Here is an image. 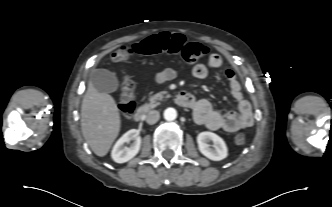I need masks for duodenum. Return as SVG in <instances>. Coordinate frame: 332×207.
<instances>
[{
	"label": "duodenum",
	"mask_w": 332,
	"mask_h": 207,
	"mask_svg": "<svg viewBox=\"0 0 332 207\" xmlns=\"http://www.w3.org/2000/svg\"><path fill=\"white\" fill-rule=\"evenodd\" d=\"M175 101L179 106L185 108H191L195 103L194 96L188 92L178 93ZM149 111V106L140 107L134 114V120L138 122L144 120Z\"/></svg>",
	"instance_id": "obj_1"
}]
</instances>
